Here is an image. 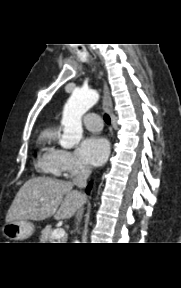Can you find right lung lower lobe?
<instances>
[{"mask_svg": "<svg viewBox=\"0 0 181 288\" xmlns=\"http://www.w3.org/2000/svg\"><path fill=\"white\" fill-rule=\"evenodd\" d=\"M90 189H91V184H89L88 187H87V192L88 193H89Z\"/></svg>", "mask_w": 181, "mask_h": 288, "instance_id": "98d812e1", "label": "right lung lower lobe"}]
</instances>
